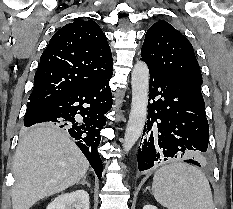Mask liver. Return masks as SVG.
<instances>
[{
  "label": "liver",
  "instance_id": "liver-1",
  "mask_svg": "<svg viewBox=\"0 0 233 209\" xmlns=\"http://www.w3.org/2000/svg\"><path fill=\"white\" fill-rule=\"evenodd\" d=\"M89 162L67 132L38 125L20 138L14 161L12 208L30 209L39 200L77 184Z\"/></svg>",
  "mask_w": 233,
  "mask_h": 209
}]
</instances>
